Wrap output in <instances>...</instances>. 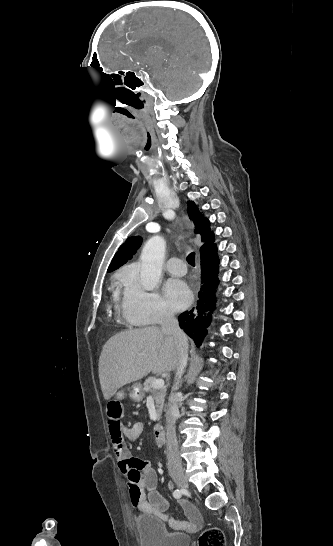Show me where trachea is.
<instances>
[{
	"instance_id": "1",
	"label": "trachea",
	"mask_w": 333,
	"mask_h": 546,
	"mask_svg": "<svg viewBox=\"0 0 333 546\" xmlns=\"http://www.w3.org/2000/svg\"><path fill=\"white\" fill-rule=\"evenodd\" d=\"M187 261L190 265L192 266H195V253L194 252H191L188 256H187Z\"/></svg>"
}]
</instances>
